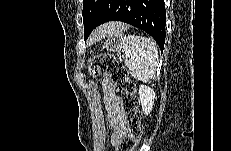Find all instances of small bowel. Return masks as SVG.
I'll return each instance as SVG.
<instances>
[{
    "label": "small bowel",
    "instance_id": "small-bowel-1",
    "mask_svg": "<svg viewBox=\"0 0 231 151\" xmlns=\"http://www.w3.org/2000/svg\"><path fill=\"white\" fill-rule=\"evenodd\" d=\"M104 104L107 110V119L113 130L111 143L115 145L119 138L126 132L127 126L120 108L119 100L112 93V84L109 78L103 81Z\"/></svg>",
    "mask_w": 231,
    "mask_h": 151
}]
</instances>
